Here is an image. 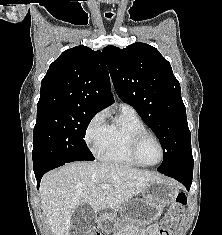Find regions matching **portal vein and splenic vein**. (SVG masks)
<instances>
[{"label": "portal vein and splenic vein", "instance_id": "portal-vein-and-splenic-vein-1", "mask_svg": "<svg viewBox=\"0 0 222 235\" xmlns=\"http://www.w3.org/2000/svg\"><path fill=\"white\" fill-rule=\"evenodd\" d=\"M107 187H108L107 184H102V185H101V188H103V189H106Z\"/></svg>", "mask_w": 222, "mask_h": 235}]
</instances>
